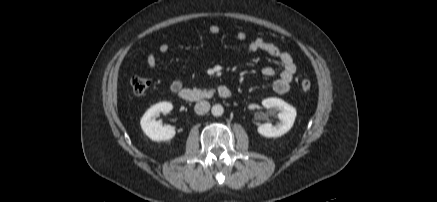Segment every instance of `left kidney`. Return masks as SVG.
<instances>
[{"label":"left kidney","mask_w":437,"mask_h":202,"mask_svg":"<svg viewBox=\"0 0 437 202\" xmlns=\"http://www.w3.org/2000/svg\"><path fill=\"white\" fill-rule=\"evenodd\" d=\"M263 107L278 111L280 123L272 125L271 123L261 124L257 131L264 137H279L287 133L293 126L297 112L290 104L279 98H266L262 101Z\"/></svg>","instance_id":"left-kidney-1"}]
</instances>
